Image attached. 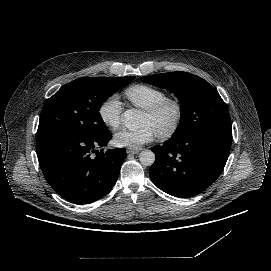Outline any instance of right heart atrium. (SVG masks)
<instances>
[{
  "label": "right heart atrium",
  "mask_w": 271,
  "mask_h": 271,
  "mask_svg": "<svg viewBox=\"0 0 271 271\" xmlns=\"http://www.w3.org/2000/svg\"><path fill=\"white\" fill-rule=\"evenodd\" d=\"M100 120L111 130H117L122 123L123 104L117 93L105 98L97 110Z\"/></svg>",
  "instance_id": "right-heart-atrium-1"
}]
</instances>
